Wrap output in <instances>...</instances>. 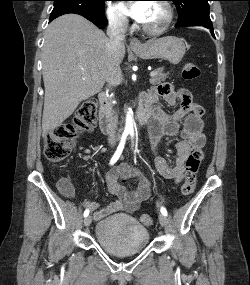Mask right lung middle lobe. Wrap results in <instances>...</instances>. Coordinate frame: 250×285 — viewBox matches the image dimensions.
<instances>
[{
    "instance_id": "1",
    "label": "right lung middle lobe",
    "mask_w": 250,
    "mask_h": 285,
    "mask_svg": "<svg viewBox=\"0 0 250 285\" xmlns=\"http://www.w3.org/2000/svg\"><path fill=\"white\" fill-rule=\"evenodd\" d=\"M54 8L50 18L55 19L67 13H87L92 15H105L106 0H53Z\"/></svg>"
}]
</instances>
